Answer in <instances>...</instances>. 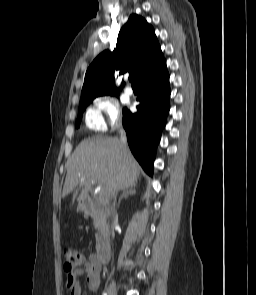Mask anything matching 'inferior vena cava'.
<instances>
[{"mask_svg":"<svg viewBox=\"0 0 256 295\" xmlns=\"http://www.w3.org/2000/svg\"><path fill=\"white\" fill-rule=\"evenodd\" d=\"M120 141H121V143L123 145V148L126 149V147H127V138H126L125 131H124V129L122 127L120 129ZM115 194H116V192H115ZM115 202H116V196H115ZM114 205H115V203H114Z\"/></svg>","mask_w":256,"mask_h":295,"instance_id":"inferior-vena-cava-1","label":"inferior vena cava"}]
</instances>
